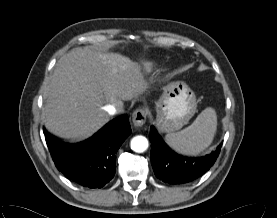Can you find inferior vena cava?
Instances as JSON below:
<instances>
[{
  "label": "inferior vena cava",
  "instance_id": "obj_1",
  "mask_svg": "<svg viewBox=\"0 0 277 218\" xmlns=\"http://www.w3.org/2000/svg\"><path fill=\"white\" fill-rule=\"evenodd\" d=\"M110 115H113V114H118V113H122L123 112V105H109V106H106V109H105Z\"/></svg>",
  "mask_w": 277,
  "mask_h": 218
}]
</instances>
